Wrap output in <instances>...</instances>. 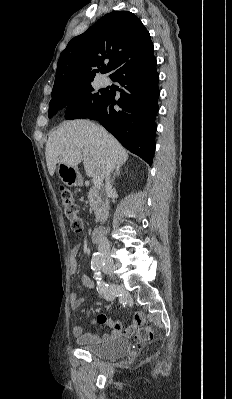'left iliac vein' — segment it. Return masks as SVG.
Returning a JSON list of instances; mask_svg holds the SVG:
<instances>
[{"instance_id":"left-iliac-vein-1","label":"left iliac vein","mask_w":232,"mask_h":399,"mask_svg":"<svg viewBox=\"0 0 232 399\" xmlns=\"http://www.w3.org/2000/svg\"><path fill=\"white\" fill-rule=\"evenodd\" d=\"M103 272H104L105 274H108L109 269H108V268H104V269H103Z\"/></svg>"}]
</instances>
